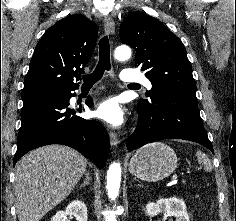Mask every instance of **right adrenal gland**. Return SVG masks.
<instances>
[{
  "label": "right adrenal gland",
  "mask_w": 236,
  "mask_h": 221,
  "mask_svg": "<svg viewBox=\"0 0 236 221\" xmlns=\"http://www.w3.org/2000/svg\"><path fill=\"white\" fill-rule=\"evenodd\" d=\"M90 184V176L89 172L85 173V180L80 184V188H84L85 186H88Z\"/></svg>",
  "instance_id": "2a0ac1e0"
}]
</instances>
